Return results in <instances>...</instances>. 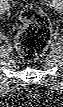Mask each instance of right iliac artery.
<instances>
[{
	"label": "right iliac artery",
	"instance_id": "right-iliac-artery-1",
	"mask_svg": "<svg viewBox=\"0 0 63 107\" xmlns=\"http://www.w3.org/2000/svg\"><path fill=\"white\" fill-rule=\"evenodd\" d=\"M3 2H7V1H5V0H1V1H0V3H3Z\"/></svg>",
	"mask_w": 63,
	"mask_h": 107
}]
</instances>
